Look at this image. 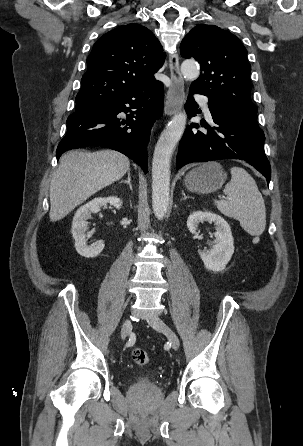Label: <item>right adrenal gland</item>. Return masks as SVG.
<instances>
[{"instance_id": "obj_1", "label": "right adrenal gland", "mask_w": 303, "mask_h": 446, "mask_svg": "<svg viewBox=\"0 0 303 446\" xmlns=\"http://www.w3.org/2000/svg\"><path fill=\"white\" fill-rule=\"evenodd\" d=\"M127 175H128L127 180H121V183H125V184H127V185L129 186L130 190H133V189H132V184H131L130 170H128Z\"/></svg>"}]
</instances>
